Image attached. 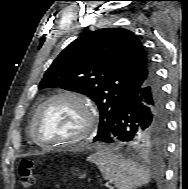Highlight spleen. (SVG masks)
Masks as SVG:
<instances>
[{
  "instance_id": "3e777b00",
  "label": "spleen",
  "mask_w": 188,
  "mask_h": 189,
  "mask_svg": "<svg viewBox=\"0 0 188 189\" xmlns=\"http://www.w3.org/2000/svg\"><path fill=\"white\" fill-rule=\"evenodd\" d=\"M87 160L95 163L104 179L117 189H136L150 181V174L142 166L110 151L96 152Z\"/></svg>"
}]
</instances>
